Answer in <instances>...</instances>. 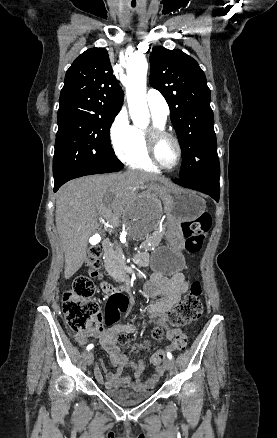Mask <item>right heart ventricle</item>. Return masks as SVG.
<instances>
[{
  "instance_id": "right-heart-ventricle-1",
  "label": "right heart ventricle",
  "mask_w": 277,
  "mask_h": 438,
  "mask_svg": "<svg viewBox=\"0 0 277 438\" xmlns=\"http://www.w3.org/2000/svg\"><path fill=\"white\" fill-rule=\"evenodd\" d=\"M153 123L163 127L165 121L153 118ZM119 156L130 169H137L148 173L159 171L148 154L145 144V132L137 126H132V142L129 149L119 153Z\"/></svg>"
}]
</instances>
